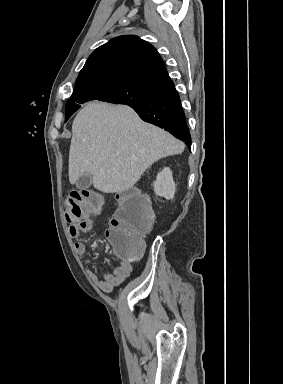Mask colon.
<instances>
[{
	"label": "colon",
	"instance_id": "obj_1",
	"mask_svg": "<svg viewBox=\"0 0 283 384\" xmlns=\"http://www.w3.org/2000/svg\"><path fill=\"white\" fill-rule=\"evenodd\" d=\"M117 201L107 236L115 255L130 262L144 252V235L152 227L153 214L146 198L138 190L122 192ZM65 208L67 222L76 226L89 214L102 211L104 196L87 189L71 190L65 197Z\"/></svg>",
	"mask_w": 283,
	"mask_h": 384
}]
</instances>
